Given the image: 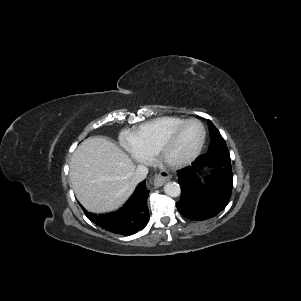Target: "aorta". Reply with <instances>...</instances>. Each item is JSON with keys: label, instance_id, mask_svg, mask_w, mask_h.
<instances>
[{"label": "aorta", "instance_id": "1", "mask_svg": "<svg viewBox=\"0 0 301 301\" xmlns=\"http://www.w3.org/2000/svg\"><path fill=\"white\" fill-rule=\"evenodd\" d=\"M164 192L170 197H178L181 193V188L176 182H168L164 186Z\"/></svg>", "mask_w": 301, "mask_h": 301}]
</instances>
